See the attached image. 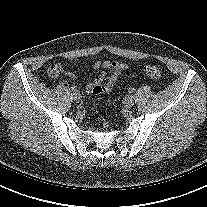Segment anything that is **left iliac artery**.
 <instances>
[{"mask_svg": "<svg viewBox=\"0 0 207 207\" xmlns=\"http://www.w3.org/2000/svg\"><path fill=\"white\" fill-rule=\"evenodd\" d=\"M128 91H129L130 93H132V92H134V88H129Z\"/></svg>", "mask_w": 207, "mask_h": 207, "instance_id": "44dca946", "label": "left iliac artery"}]
</instances>
